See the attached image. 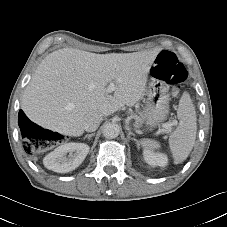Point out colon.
Returning <instances> with one entry per match:
<instances>
[{"instance_id":"obj_1","label":"colon","mask_w":227,"mask_h":227,"mask_svg":"<svg viewBox=\"0 0 227 227\" xmlns=\"http://www.w3.org/2000/svg\"><path fill=\"white\" fill-rule=\"evenodd\" d=\"M152 74L172 87L174 94H177L182 83L187 78V70L175 54L169 51L161 52L152 67ZM50 133L42 129L30 131L28 139L23 143L24 152L31 154L43 151L49 146Z\"/></svg>"}]
</instances>
